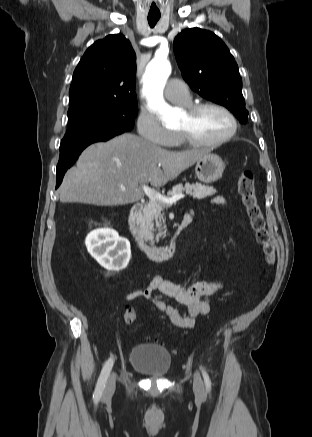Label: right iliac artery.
<instances>
[{
	"label": "right iliac artery",
	"instance_id": "obj_1",
	"mask_svg": "<svg viewBox=\"0 0 312 437\" xmlns=\"http://www.w3.org/2000/svg\"><path fill=\"white\" fill-rule=\"evenodd\" d=\"M113 362H114L113 359L109 358L106 361V363H105V365H104V367H103V369L101 371V374L99 376V379H98V382H97V385H96L95 392L93 394V399H94L95 402H98L100 400L101 396H102V393H103L104 388H105L106 381H107V379L109 377L110 371H111L112 366H113Z\"/></svg>",
	"mask_w": 312,
	"mask_h": 437
}]
</instances>
